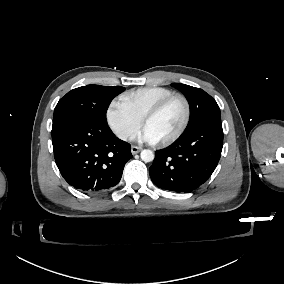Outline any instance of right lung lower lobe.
I'll list each match as a JSON object with an SVG mask.
<instances>
[{
	"mask_svg": "<svg viewBox=\"0 0 284 284\" xmlns=\"http://www.w3.org/2000/svg\"><path fill=\"white\" fill-rule=\"evenodd\" d=\"M57 167L68 184L84 192L114 187L132 158L131 146L100 121L78 118L52 131Z\"/></svg>",
	"mask_w": 284,
	"mask_h": 284,
	"instance_id": "obj_1",
	"label": "right lung lower lobe"
}]
</instances>
